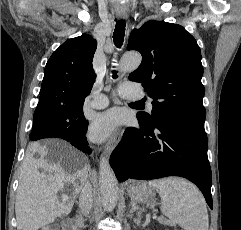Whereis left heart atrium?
Returning <instances> with one entry per match:
<instances>
[{
    "mask_svg": "<svg viewBox=\"0 0 241 230\" xmlns=\"http://www.w3.org/2000/svg\"><path fill=\"white\" fill-rule=\"evenodd\" d=\"M120 123V116L116 109L97 114L89 126V137L95 141L108 138Z\"/></svg>",
    "mask_w": 241,
    "mask_h": 230,
    "instance_id": "obj_1",
    "label": "left heart atrium"
}]
</instances>
